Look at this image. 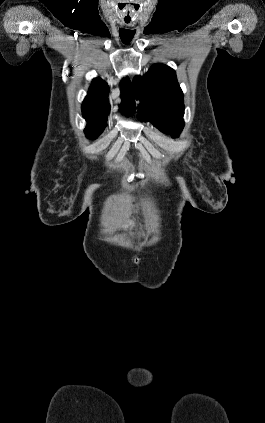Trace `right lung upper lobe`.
Wrapping results in <instances>:
<instances>
[{
    "label": "right lung upper lobe",
    "instance_id": "1",
    "mask_svg": "<svg viewBox=\"0 0 265 423\" xmlns=\"http://www.w3.org/2000/svg\"><path fill=\"white\" fill-rule=\"evenodd\" d=\"M122 103L120 110L126 115H132L135 110L132 98L131 84L128 79L121 82ZM109 87L107 83L99 78L92 81L88 95L82 103L83 117L106 123L110 106L108 104Z\"/></svg>",
    "mask_w": 265,
    "mask_h": 423
}]
</instances>
